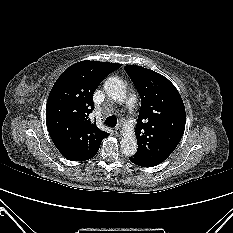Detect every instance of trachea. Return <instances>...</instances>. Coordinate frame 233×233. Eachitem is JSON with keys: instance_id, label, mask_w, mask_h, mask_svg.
Masks as SVG:
<instances>
[{"instance_id": "obj_1", "label": "trachea", "mask_w": 233, "mask_h": 233, "mask_svg": "<svg viewBox=\"0 0 233 233\" xmlns=\"http://www.w3.org/2000/svg\"><path fill=\"white\" fill-rule=\"evenodd\" d=\"M104 124L110 127H115L117 124L116 116L112 115V116L107 117Z\"/></svg>"}]
</instances>
